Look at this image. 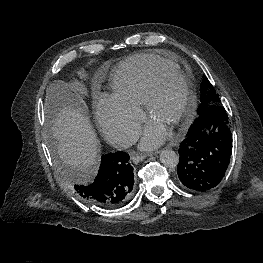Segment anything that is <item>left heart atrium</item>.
<instances>
[{
    "label": "left heart atrium",
    "mask_w": 263,
    "mask_h": 263,
    "mask_svg": "<svg viewBox=\"0 0 263 263\" xmlns=\"http://www.w3.org/2000/svg\"><path fill=\"white\" fill-rule=\"evenodd\" d=\"M165 129L154 121H150L145 130L141 141V146L145 149L154 148L166 139Z\"/></svg>",
    "instance_id": "39dd6f15"
}]
</instances>
